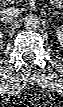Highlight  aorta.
<instances>
[{
  "mask_svg": "<svg viewBox=\"0 0 63 107\" xmlns=\"http://www.w3.org/2000/svg\"><path fill=\"white\" fill-rule=\"evenodd\" d=\"M24 26L29 30H34L40 26V18L37 15L29 14L24 18Z\"/></svg>",
  "mask_w": 63,
  "mask_h": 107,
  "instance_id": "obj_1",
  "label": "aorta"
}]
</instances>
